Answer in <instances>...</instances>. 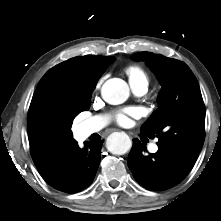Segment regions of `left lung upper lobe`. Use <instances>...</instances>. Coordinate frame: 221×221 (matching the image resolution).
Instances as JSON below:
<instances>
[{"instance_id":"1","label":"left lung upper lobe","mask_w":221,"mask_h":221,"mask_svg":"<svg viewBox=\"0 0 221 221\" xmlns=\"http://www.w3.org/2000/svg\"><path fill=\"white\" fill-rule=\"evenodd\" d=\"M133 58L145 60L162 86L159 108L142 125V132L156 136L159 149L190 171L205 138V106L194 74L185 63L163 55L140 52Z\"/></svg>"}]
</instances>
